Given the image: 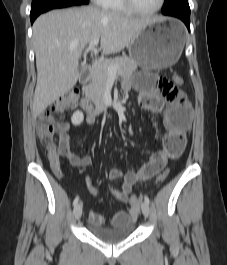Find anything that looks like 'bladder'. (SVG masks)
<instances>
[{
    "instance_id": "bladder-1",
    "label": "bladder",
    "mask_w": 227,
    "mask_h": 265,
    "mask_svg": "<svg viewBox=\"0 0 227 265\" xmlns=\"http://www.w3.org/2000/svg\"><path fill=\"white\" fill-rule=\"evenodd\" d=\"M88 230L100 241L113 244L128 239L135 231V224L133 221H128L125 224L113 227L89 225Z\"/></svg>"
}]
</instances>
